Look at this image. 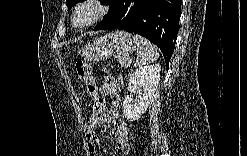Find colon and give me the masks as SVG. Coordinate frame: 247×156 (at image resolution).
I'll return each instance as SVG.
<instances>
[{"label":"colon","instance_id":"1","mask_svg":"<svg viewBox=\"0 0 247 156\" xmlns=\"http://www.w3.org/2000/svg\"><path fill=\"white\" fill-rule=\"evenodd\" d=\"M75 70L78 79L84 84L88 94L92 97L94 107H91V112H100L101 106L105 103V98L99 97L91 65L87 61L81 59L76 62Z\"/></svg>","mask_w":247,"mask_h":156}]
</instances>
